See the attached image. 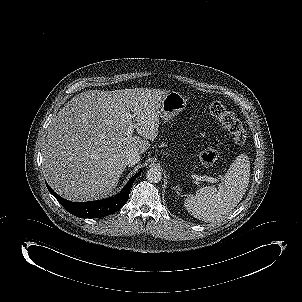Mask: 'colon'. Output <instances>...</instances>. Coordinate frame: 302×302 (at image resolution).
Here are the masks:
<instances>
[{"label":"colon","instance_id":"1","mask_svg":"<svg viewBox=\"0 0 302 302\" xmlns=\"http://www.w3.org/2000/svg\"><path fill=\"white\" fill-rule=\"evenodd\" d=\"M210 112L230 131L236 143L243 144L246 141L247 133L243 125L233 113L227 110L223 103L219 101L211 103ZM217 158L218 152L214 148H206L200 154V160L204 165H212Z\"/></svg>","mask_w":302,"mask_h":302}]
</instances>
